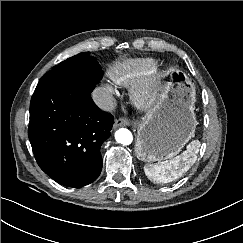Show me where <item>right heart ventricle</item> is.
Instances as JSON below:
<instances>
[{"label": "right heart ventricle", "instance_id": "1", "mask_svg": "<svg viewBox=\"0 0 243 243\" xmlns=\"http://www.w3.org/2000/svg\"><path fill=\"white\" fill-rule=\"evenodd\" d=\"M156 62L151 58L126 61L112 68L110 76L120 86H132L145 80L155 69Z\"/></svg>", "mask_w": 243, "mask_h": 243}]
</instances>
